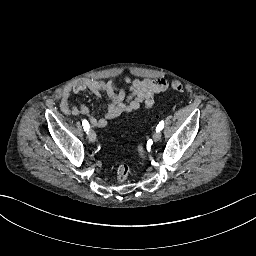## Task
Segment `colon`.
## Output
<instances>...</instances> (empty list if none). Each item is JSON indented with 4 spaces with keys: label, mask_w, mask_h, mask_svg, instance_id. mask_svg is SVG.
<instances>
[{
    "label": "colon",
    "mask_w": 256,
    "mask_h": 256,
    "mask_svg": "<svg viewBox=\"0 0 256 256\" xmlns=\"http://www.w3.org/2000/svg\"><path fill=\"white\" fill-rule=\"evenodd\" d=\"M172 88H173V90H175L177 92H181L184 89L183 85L180 82H174L172 84ZM138 154L141 158L145 157V150H144L143 145H141V144H139V146H138ZM130 171H131V168L129 165L121 164L117 170L118 181H120V182L124 181L130 174Z\"/></svg>",
    "instance_id": "obj_1"
}]
</instances>
